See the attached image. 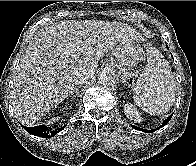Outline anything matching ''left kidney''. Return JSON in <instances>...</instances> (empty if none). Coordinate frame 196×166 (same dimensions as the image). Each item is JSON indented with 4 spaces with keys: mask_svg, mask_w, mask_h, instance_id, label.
Returning a JSON list of instances; mask_svg holds the SVG:
<instances>
[{
    "mask_svg": "<svg viewBox=\"0 0 196 166\" xmlns=\"http://www.w3.org/2000/svg\"><path fill=\"white\" fill-rule=\"evenodd\" d=\"M124 113L127 118L130 120H134L137 123H140L142 121V117L140 116V113L137 111L135 106L131 103H126L124 105Z\"/></svg>",
    "mask_w": 196,
    "mask_h": 166,
    "instance_id": "5707ae66",
    "label": "left kidney"
}]
</instances>
